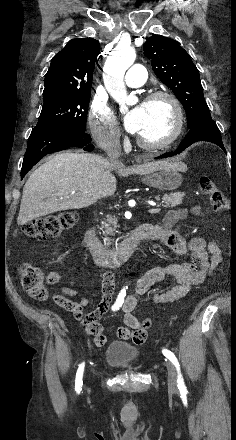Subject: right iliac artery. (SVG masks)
Returning <instances> with one entry per match:
<instances>
[{"mask_svg": "<svg viewBox=\"0 0 236 440\" xmlns=\"http://www.w3.org/2000/svg\"><path fill=\"white\" fill-rule=\"evenodd\" d=\"M126 289L127 287H124L123 289H121L116 302L114 303V305L112 306V310L113 311H117L120 309V307L122 306L123 302H124V298L126 296ZM83 371H84V363L80 364L77 373H76V379H75V390L77 392H80L82 390V385H83V381H82V377H83Z\"/></svg>", "mask_w": 236, "mask_h": 440, "instance_id": "1", "label": "right iliac artery"}]
</instances>
